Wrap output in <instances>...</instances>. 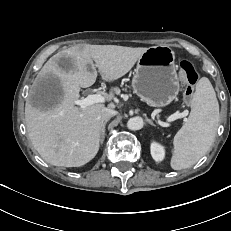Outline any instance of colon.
<instances>
[{"label": "colon", "mask_w": 231, "mask_h": 231, "mask_svg": "<svg viewBox=\"0 0 231 231\" xmlns=\"http://www.w3.org/2000/svg\"><path fill=\"white\" fill-rule=\"evenodd\" d=\"M179 75L186 82L183 97L185 101H188L193 94V85L197 82L199 74L190 62L183 60L180 62Z\"/></svg>", "instance_id": "5ec220e1"}]
</instances>
